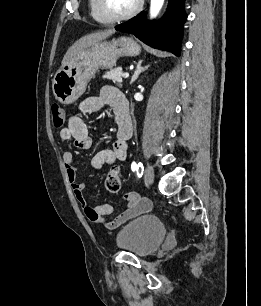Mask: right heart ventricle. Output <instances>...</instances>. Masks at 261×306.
<instances>
[{
  "label": "right heart ventricle",
  "mask_w": 261,
  "mask_h": 306,
  "mask_svg": "<svg viewBox=\"0 0 261 306\" xmlns=\"http://www.w3.org/2000/svg\"><path fill=\"white\" fill-rule=\"evenodd\" d=\"M91 17L98 23L108 24L111 21L102 13L99 7V0H88Z\"/></svg>",
  "instance_id": "obj_1"
}]
</instances>
